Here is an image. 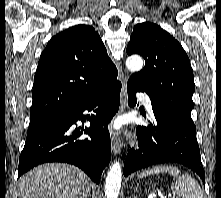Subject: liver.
Segmentation results:
<instances>
[{
	"label": "liver",
	"mask_w": 221,
	"mask_h": 198,
	"mask_svg": "<svg viewBox=\"0 0 221 198\" xmlns=\"http://www.w3.org/2000/svg\"><path fill=\"white\" fill-rule=\"evenodd\" d=\"M90 179L64 163L39 165L22 176L12 198H89Z\"/></svg>",
	"instance_id": "6515ba94"
}]
</instances>
